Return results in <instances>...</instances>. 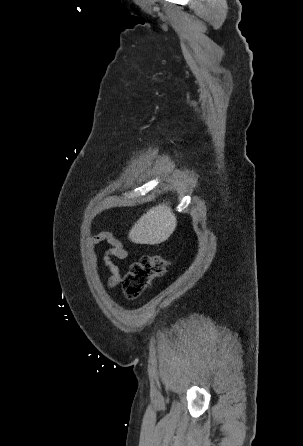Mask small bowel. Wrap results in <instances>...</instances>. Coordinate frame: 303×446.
<instances>
[{"label":"small bowel","mask_w":303,"mask_h":446,"mask_svg":"<svg viewBox=\"0 0 303 446\" xmlns=\"http://www.w3.org/2000/svg\"><path fill=\"white\" fill-rule=\"evenodd\" d=\"M106 242L109 248L105 251L103 256V262L110 271V276L107 281V285L113 288L119 285L122 281L119 267L114 263L113 258L123 260L128 256V252L125 249L123 243L118 240L112 233L100 232L90 237L88 244V251L90 256V263L92 267L97 270V256L95 248L98 244Z\"/></svg>","instance_id":"obj_1"}]
</instances>
